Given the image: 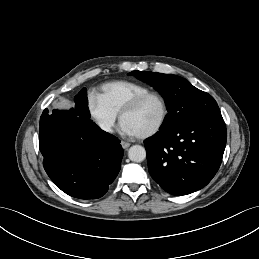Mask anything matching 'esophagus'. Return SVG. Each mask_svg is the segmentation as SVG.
I'll return each mask as SVG.
<instances>
[{
  "mask_svg": "<svg viewBox=\"0 0 259 259\" xmlns=\"http://www.w3.org/2000/svg\"><path fill=\"white\" fill-rule=\"evenodd\" d=\"M121 145L124 149H127L130 146V143L125 142V141H121Z\"/></svg>",
  "mask_w": 259,
  "mask_h": 259,
  "instance_id": "esophagus-1",
  "label": "esophagus"
}]
</instances>
